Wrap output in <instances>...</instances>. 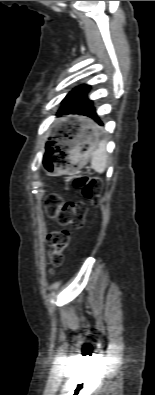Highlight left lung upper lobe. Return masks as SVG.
Listing matches in <instances>:
<instances>
[{"label": "left lung upper lobe", "mask_w": 155, "mask_h": 395, "mask_svg": "<svg viewBox=\"0 0 155 395\" xmlns=\"http://www.w3.org/2000/svg\"><path fill=\"white\" fill-rule=\"evenodd\" d=\"M91 86L83 84L70 91L62 100L63 106L59 109L57 115L63 114H82L86 103V95Z\"/></svg>", "instance_id": "5c2ea615"}]
</instances>
